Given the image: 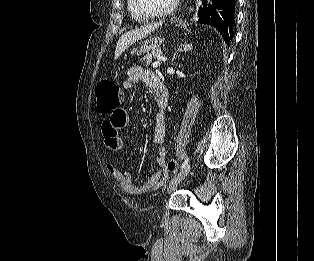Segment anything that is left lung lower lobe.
<instances>
[{"mask_svg": "<svg viewBox=\"0 0 314 261\" xmlns=\"http://www.w3.org/2000/svg\"><path fill=\"white\" fill-rule=\"evenodd\" d=\"M235 5V0H212L207 7V1L203 0V8L199 9V13L202 15L198 23L215 27L222 34L224 40L229 43L234 34Z\"/></svg>", "mask_w": 314, "mask_h": 261, "instance_id": "left-lung-lower-lobe-1", "label": "left lung lower lobe"}]
</instances>
